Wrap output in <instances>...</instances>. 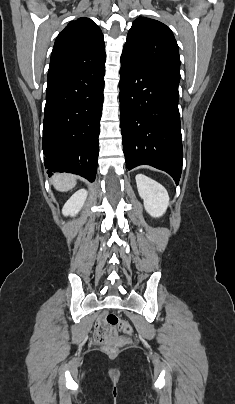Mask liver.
Masks as SVG:
<instances>
[{
	"label": "liver",
	"instance_id": "6515ba94",
	"mask_svg": "<svg viewBox=\"0 0 235 404\" xmlns=\"http://www.w3.org/2000/svg\"><path fill=\"white\" fill-rule=\"evenodd\" d=\"M52 183L56 190L66 192L71 190L76 185V177L71 174H56L52 178Z\"/></svg>",
	"mask_w": 235,
	"mask_h": 404
}]
</instances>
